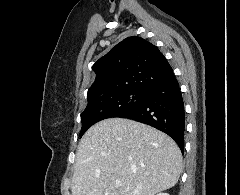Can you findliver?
<instances>
[{
  "instance_id": "1",
  "label": "liver",
  "mask_w": 240,
  "mask_h": 195,
  "mask_svg": "<svg viewBox=\"0 0 240 195\" xmlns=\"http://www.w3.org/2000/svg\"><path fill=\"white\" fill-rule=\"evenodd\" d=\"M181 169V151L169 135L133 119L109 117L81 137L71 191L72 195H155L173 187ZM116 181L122 185L117 187Z\"/></svg>"
}]
</instances>
